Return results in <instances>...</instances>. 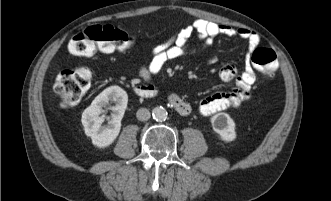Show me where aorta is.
<instances>
[{"mask_svg":"<svg viewBox=\"0 0 331 201\" xmlns=\"http://www.w3.org/2000/svg\"><path fill=\"white\" fill-rule=\"evenodd\" d=\"M167 110L162 106H157L152 111V116L156 121H165L167 119Z\"/></svg>","mask_w":331,"mask_h":201,"instance_id":"aorta-1","label":"aorta"}]
</instances>
